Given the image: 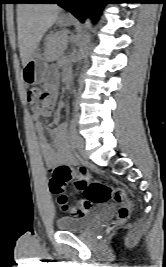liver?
Listing matches in <instances>:
<instances>
[{
	"label": "liver",
	"instance_id": "liver-1",
	"mask_svg": "<svg viewBox=\"0 0 166 267\" xmlns=\"http://www.w3.org/2000/svg\"><path fill=\"white\" fill-rule=\"evenodd\" d=\"M60 11V7L53 4L21 3L17 6L18 44L23 66L46 31L57 21Z\"/></svg>",
	"mask_w": 166,
	"mask_h": 267
}]
</instances>
